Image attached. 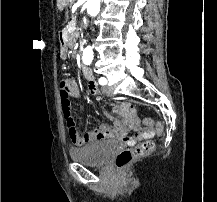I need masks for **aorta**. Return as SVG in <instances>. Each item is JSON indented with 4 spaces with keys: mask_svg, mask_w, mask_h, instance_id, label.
<instances>
[{
    "mask_svg": "<svg viewBox=\"0 0 217 202\" xmlns=\"http://www.w3.org/2000/svg\"><path fill=\"white\" fill-rule=\"evenodd\" d=\"M86 8H87V14L89 16H98L100 12V0H87L86 2ZM83 62H88V64H91L93 60V48L91 46H87L85 50H83Z\"/></svg>",
    "mask_w": 217,
    "mask_h": 202,
    "instance_id": "762f6f07",
    "label": "aorta"
}]
</instances>
